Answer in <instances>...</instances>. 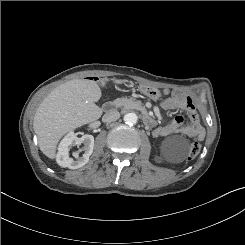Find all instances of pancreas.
<instances>
[{
    "mask_svg": "<svg viewBox=\"0 0 245 245\" xmlns=\"http://www.w3.org/2000/svg\"><path fill=\"white\" fill-rule=\"evenodd\" d=\"M116 107H121L122 109H141L142 102L134 100L132 98H118L114 101Z\"/></svg>",
    "mask_w": 245,
    "mask_h": 245,
    "instance_id": "cf45deb5",
    "label": "pancreas"
}]
</instances>
